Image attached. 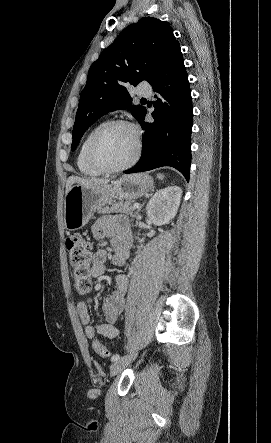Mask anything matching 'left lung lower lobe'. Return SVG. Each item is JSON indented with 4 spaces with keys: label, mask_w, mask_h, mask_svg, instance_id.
I'll list each match as a JSON object with an SVG mask.
<instances>
[{
    "label": "left lung lower lobe",
    "mask_w": 271,
    "mask_h": 443,
    "mask_svg": "<svg viewBox=\"0 0 271 443\" xmlns=\"http://www.w3.org/2000/svg\"><path fill=\"white\" fill-rule=\"evenodd\" d=\"M158 96L152 113L154 121L139 123L145 130L142 155L138 163L125 173L171 166L189 181L193 106L186 68L180 46L175 47L147 79Z\"/></svg>",
    "instance_id": "1"
}]
</instances>
